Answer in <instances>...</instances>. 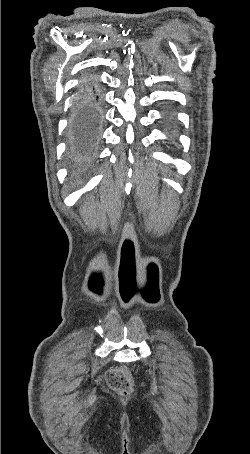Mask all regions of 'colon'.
Returning <instances> with one entry per match:
<instances>
[{"label":"colon","mask_w":250,"mask_h":454,"mask_svg":"<svg viewBox=\"0 0 250 454\" xmlns=\"http://www.w3.org/2000/svg\"><path fill=\"white\" fill-rule=\"evenodd\" d=\"M109 387L119 395L126 396L132 392L133 381L129 371L116 368L107 373Z\"/></svg>","instance_id":"1"}]
</instances>
